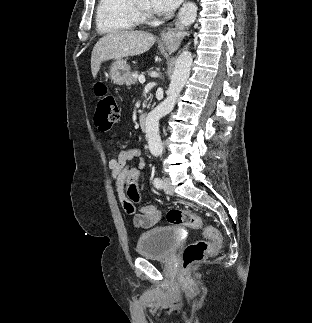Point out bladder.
<instances>
[{
    "instance_id": "31cf9c89",
    "label": "bladder",
    "mask_w": 312,
    "mask_h": 323,
    "mask_svg": "<svg viewBox=\"0 0 312 323\" xmlns=\"http://www.w3.org/2000/svg\"><path fill=\"white\" fill-rule=\"evenodd\" d=\"M181 240L173 227H157L140 234L137 241V252L140 256L154 259H165L176 251Z\"/></svg>"
}]
</instances>
